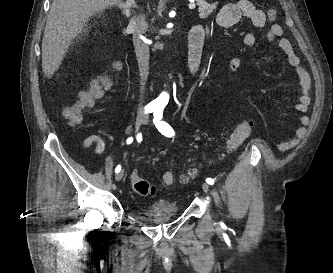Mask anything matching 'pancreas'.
Masks as SVG:
<instances>
[{
  "instance_id": "cf45deb5",
  "label": "pancreas",
  "mask_w": 333,
  "mask_h": 273,
  "mask_svg": "<svg viewBox=\"0 0 333 273\" xmlns=\"http://www.w3.org/2000/svg\"><path fill=\"white\" fill-rule=\"evenodd\" d=\"M198 5V11L200 12V18H207L213 10L216 8L215 4H209L205 0H196Z\"/></svg>"
}]
</instances>
